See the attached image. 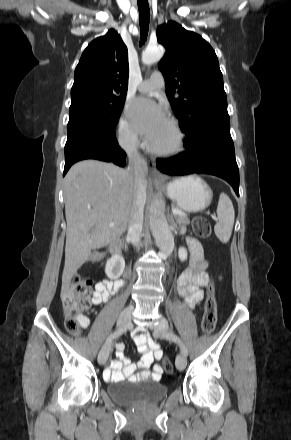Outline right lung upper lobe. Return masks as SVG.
I'll return each mask as SVG.
<instances>
[{"label": "right lung upper lobe", "mask_w": 291, "mask_h": 440, "mask_svg": "<svg viewBox=\"0 0 291 440\" xmlns=\"http://www.w3.org/2000/svg\"><path fill=\"white\" fill-rule=\"evenodd\" d=\"M128 51L114 29L84 50L75 69L71 102L84 98L125 97L128 88Z\"/></svg>", "instance_id": "1"}]
</instances>
